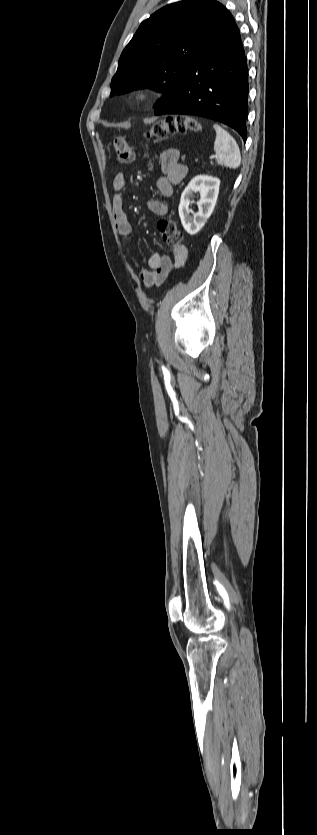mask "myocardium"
Here are the masks:
<instances>
[{
	"label": "myocardium",
	"instance_id": "1",
	"mask_svg": "<svg viewBox=\"0 0 317 835\" xmlns=\"http://www.w3.org/2000/svg\"><path fill=\"white\" fill-rule=\"evenodd\" d=\"M152 92L146 87H138L132 92V98L137 102H144L151 98Z\"/></svg>",
	"mask_w": 317,
	"mask_h": 835
}]
</instances>
